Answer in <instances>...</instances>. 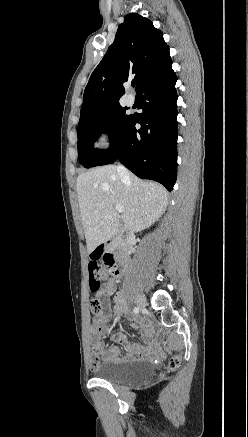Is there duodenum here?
I'll use <instances>...</instances> for the list:
<instances>
[{
  "instance_id": "duodenum-1",
  "label": "duodenum",
  "mask_w": 248,
  "mask_h": 437,
  "mask_svg": "<svg viewBox=\"0 0 248 437\" xmlns=\"http://www.w3.org/2000/svg\"><path fill=\"white\" fill-rule=\"evenodd\" d=\"M132 235L123 231H118L113 242H105L90 250V255L93 257H104L105 255L115 260L113 275L121 276L123 269L127 266L129 257L128 250Z\"/></svg>"
}]
</instances>
